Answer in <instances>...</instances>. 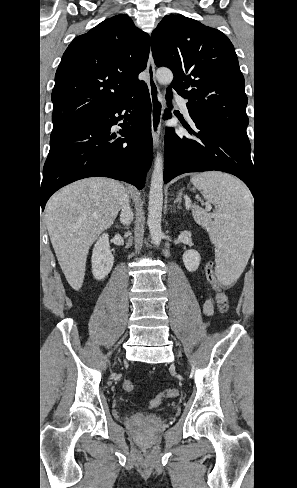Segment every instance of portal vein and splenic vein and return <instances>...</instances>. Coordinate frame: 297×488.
<instances>
[{"label": "portal vein and splenic vein", "mask_w": 297, "mask_h": 488, "mask_svg": "<svg viewBox=\"0 0 297 488\" xmlns=\"http://www.w3.org/2000/svg\"><path fill=\"white\" fill-rule=\"evenodd\" d=\"M207 209L209 210L210 209V205L207 206Z\"/></svg>", "instance_id": "18ae733b"}]
</instances>
